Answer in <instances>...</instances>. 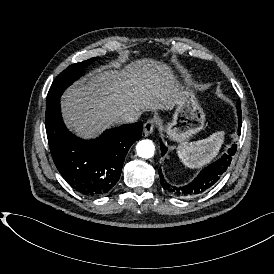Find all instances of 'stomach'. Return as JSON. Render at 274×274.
Wrapping results in <instances>:
<instances>
[{
    "mask_svg": "<svg viewBox=\"0 0 274 274\" xmlns=\"http://www.w3.org/2000/svg\"><path fill=\"white\" fill-rule=\"evenodd\" d=\"M205 116L195 96L185 91L177 103L173 122L166 127L168 136L175 141H185L204 126Z\"/></svg>",
    "mask_w": 274,
    "mask_h": 274,
    "instance_id": "1",
    "label": "stomach"
}]
</instances>
